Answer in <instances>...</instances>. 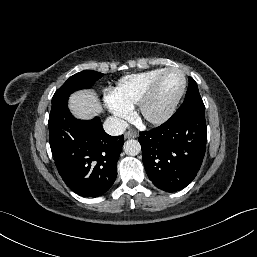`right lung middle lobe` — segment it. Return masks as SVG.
Wrapping results in <instances>:
<instances>
[{
    "mask_svg": "<svg viewBox=\"0 0 257 257\" xmlns=\"http://www.w3.org/2000/svg\"><path fill=\"white\" fill-rule=\"evenodd\" d=\"M103 76L93 70H84L71 76L54 94L49 118L67 107L68 97L71 93L93 86L94 82Z\"/></svg>",
    "mask_w": 257,
    "mask_h": 257,
    "instance_id": "1",
    "label": "right lung middle lobe"
}]
</instances>
